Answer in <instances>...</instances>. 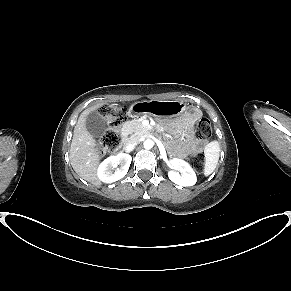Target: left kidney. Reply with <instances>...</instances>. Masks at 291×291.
I'll use <instances>...</instances> for the list:
<instances>
[{"label": "left kidney", "mask_w": 291, "mask_h": 291, "mask_svg": "<svg viewBox=\"0 0 291 291\" xmlns=\"http://www.w3.org/2000/svg\"><path fill=\"white\" fill-rule=\"evenodd\" d=\"M171 169H177L179 172L171 170L168 172L169 179L180 186H193L197 182L195 171L192 167L184 160L174 158L167 163Z\"/></svg>", "instance_id": "obj_1"}]
</instances>
